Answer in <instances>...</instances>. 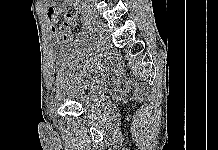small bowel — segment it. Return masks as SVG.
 Masks as SVG:
<instances>
[{
	"instance_id": "small-bowel-1",
	"label": "small bowel",
	"mask_w": 218,
	"mask_h": 150,
	"mask_svg": "<svg viewBox=\"0 0 218 150\" xmlns=\"http://www.w3.org/2000/svg\"><path fill=\"white\" fill-rule=\"evenodd\" d=\"M49 5L47 8V19L50 23L52 35L57 38L65 30L73 28L79 10L77 0H63V6H57L54 0H46ZM63 14L62 27H60V15Z\"/></svg>"
}]
</instances>
